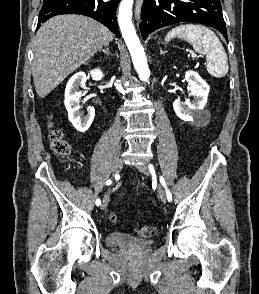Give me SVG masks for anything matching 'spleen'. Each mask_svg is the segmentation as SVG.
<instances>
[{
	"mask_svg": "<svg viewBox=\"0 0 259 294\" xmlns=\"http://www.w3.org/2000/svg\"><path fill=\"white\" fill-rule=\"evenodd\" d=\"M180 38L190 43L197 53L206 55L207 71L216 78L228 73V59L223 45L213 31L205 26L185 24L170 30L165 41Z\"/></svg>",
	"mask_w": 259,
	"mask_h": 294,
	"instance_id": "1",
	"label": "spleen"
}]
</instances>
